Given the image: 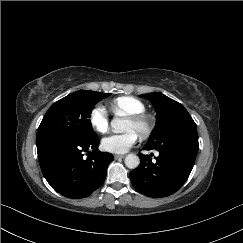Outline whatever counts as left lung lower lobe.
<instances>
[{"label":"left lung lower lobe","mask_w":243,"mask_h":243,"mask_svg":"<svg viewBox=\"0 0 243 243\" xmlns=\"http://www.w3.org/2000/svg\"><path fill=\"white\" fill-rule=\"evenodd\" d=\"M144 150H156L155 161L139 153L140 165L130 172L136 190L149 197L175 193L187 180L199 149L197 129L192 128L160 142L147 143Z\"/></svg>","instance_id":"obj_1"}]
</instances>
